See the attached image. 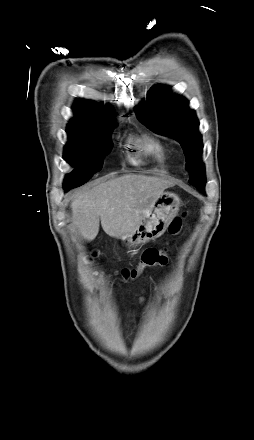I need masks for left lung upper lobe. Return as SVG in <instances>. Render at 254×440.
<instances>
[{"label":"left lung upper lobe","instance_id":"left-lung-upper-lobe-1","mask_svg":"<svg viewBox=\"0 0 254 440\" xmlns=\"http://www.w3.org/2000/svg\"><path fill=\"white\" fill-rule=\"evenodd\" d=\"M168 88L154 86L149 92V101L141 103L135 110L138 120L156 133L173 137L179 141L186 157V169L190 184L204 191L206 178L201 162L202 138L195 112L188 101L178 95L162 96Z\"/></svg>","mask_w":254,"mask_h":440}]
</instances>
